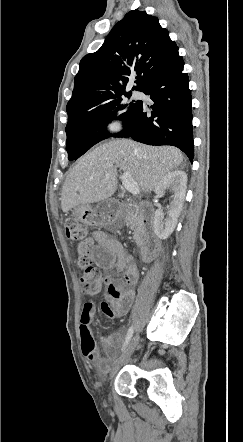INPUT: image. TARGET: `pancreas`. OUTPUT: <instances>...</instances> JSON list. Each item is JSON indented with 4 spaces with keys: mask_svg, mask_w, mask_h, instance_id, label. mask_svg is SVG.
Returning a JSON list of instances; mask_svg holds the SVG:
<instances>
[{
    "mask_svg": "<svg viewBox=\"0 0 243 442\" xmlns=\"http://www.w3.org/2000/svg\"><path fill=\"white\" fill-rule=\"evenodd\" d=\"M124 219V223L133 230V238L137 244L141 242L142 239V224L134 211L125 209V212L122 216Z\"/></svg>",
    "mask_w": 243,
    "mask_h": 442,
    "instance_id": "cf45deb5",
    "label": "pancreas"
}]
</instances>
